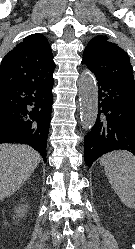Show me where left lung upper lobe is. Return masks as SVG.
Segmentation results:
<instances>
[{
  "instance_id": "left-lung-upper-lobe-1",
  "label": "left lung upper lobe",
  "mask_w": 135,
  "mask_h": 249,
  "mask_svg": "<svg viewBox=\"0 0 135 249\" xmlns=\"http://www.w3.org/2000/svg\"><path fill=\"white\" fill-rule=\"evenodd\" d=\"M82 63L96 76L135 87L133 68L128 54L108 37L98 35L90 40Z\"/></svg>"
}]
</instances>
